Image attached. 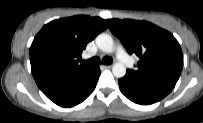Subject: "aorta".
<instances>
[{"label":"aorta","instance_id":"aorta-1","mask_svg":"<svg viewBox=\"0 0 203 123\" xmlns=\"http://www.w3.org/2000/svg\"><path fill=\"white\" fill-rule=\"evenodd\" d=\"M95 41L101 51L105 53H112L114 51V41L109 34L101 33L96 37ZM112 72L116 78H122L126 74V67L123 63L117 62L113 65Z\"/></svg>","mask_w":203,"mask_h":123}]
</instances>
